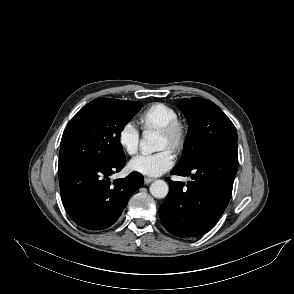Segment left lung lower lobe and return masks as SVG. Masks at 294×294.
I'll return each mask as SVG.
<instances>
[{"instance_id": "obj_1", "label": "left lung lower lobe", "mask_w": 294, "mask_h": 294, "mask_svg": "<svg viewBox=\"0 0 294 294\" xmlns=\"http://www.w3.org/2000/svg\"><path fill=\"white\" fill-rule=\"evenodd\" d=\"M238 169L237 142L220 144L185 169L173 175L191 176L184 183L169 179V193L159 207L164 227L177 237L207 233L226 209Z\"/></svg>"}]
</instances>
